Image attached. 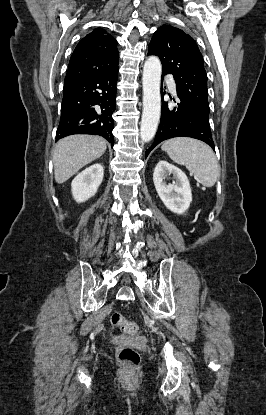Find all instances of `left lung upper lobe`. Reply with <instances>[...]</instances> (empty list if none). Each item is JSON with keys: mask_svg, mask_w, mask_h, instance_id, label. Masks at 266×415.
Listing matches in <instances>:
<instances>
[{"mask_svg": "<svg viewBox=\"0 0 266 415\" xmlns=\"http://www.w3.org/2000/svg\"><path fill=\"white\" fill-rule=\"evenodd\" d=\"M148 55L160 58L164 75L174 76L178 97L209 119L207 75L194 39L181 29L163 25L154 33Z\"/></svg>", "mask_w": 266, "mask_h": 415, "instance_id": "5c2ea615", "label": "left lung upper lobe"}]
</instances>
